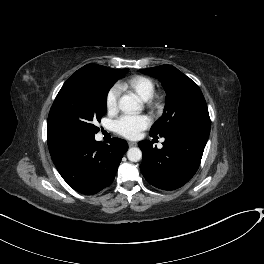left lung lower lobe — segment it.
<instances>
[{"label":"left lung lower lobe","mask_w":264,"mask_h":264,"mask_svg":"<svg viewBox=\"0 0 264 264\" xmlns=\"http://www.w3.org/2000/svg\"><path fill=\"white\" fill-rule=\"evenodd\" d=\"M210 133V125L187 123L165 136L163 148L141 141L140 170L154 187L174 190L186 184L196 173Z\"/></svg>","instance_id":"1"}]
</instances>
